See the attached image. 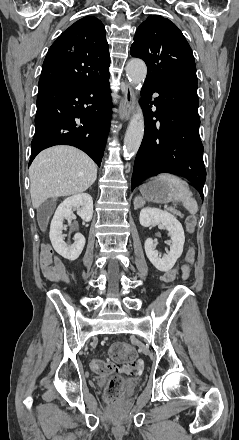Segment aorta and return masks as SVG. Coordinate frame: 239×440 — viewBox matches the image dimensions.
<instances>
[{
    "label": "aorta",
    "instance_id": "1",
    "mask_svg": "<svg viewBox=\"0 0 239 440\" xmlns=\"http://www.w3.org/2000/svg\"><path fill=\"white\" fill-rule=\"evenodd\" d=\"M126 74L129 82L136 86L141 84L147 76V66L143 60L133 58L130 62H127ZM144 134V118L141 108H137L136 114H133L129 126L126 130L124 138V150L127 156H135L137 154L140 144L143 140Z\"/></svg>",
    "mask_w": 239,
    "mask_h": 440
}]
</instances>
